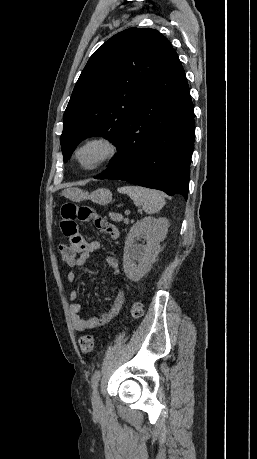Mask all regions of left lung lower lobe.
<instances>
[{"mask_svg":"<svg viewBox=\"0 0 257 459\" xmlns=\"http://www.w3.org/2000/svg\"><path fill=\"white\" fill-rule=\"evenodd\" d=\"M194 125L185 72L173 50L125 121L117 156L95 178L125 180L187 199Z\"/></svg>","mask_w":257,"mask_h":459,"instance_id":"left-lung-lower-lobe-1","label":"left lung lower lobe"}]
</instances>
